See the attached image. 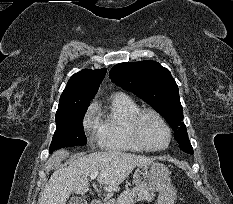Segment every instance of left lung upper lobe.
I'll list each match as a JSON object with an SVG mask.
<instances>
[{
	"instance_id": "left-lung-upper-lobe-1",
	"label": "left lung upper lobe",
	"mask_w": 233,
	"mask_h": 204,
	"mask_svg": "<svg viewBox=\"0 0 233 204\" xmlns=\"http://www.w3.org/2000/svg\"><path fill=\"white\" fill-rule=\"evenodd\" d=\"M109 77L162 114L174 130L180 149L193 154L183 122L178 86L168 69L155 61L125 62L115 65Z\"/></svg>"
}]
</instances>
